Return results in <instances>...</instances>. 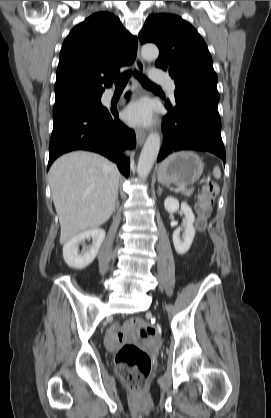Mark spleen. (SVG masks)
<instances>
[{
    "label": "spleen",
    "instance_id": "obj_1",
    "mask_svg": "<svg viewBox=\"0 0 271 418\" xmlns=\"http://www.w3.org/2000/svg\"><path fill=\"white\" fill-rule=\"evenodd\" d=\"M213 175L216 179H219L221 177V171L219 167H214L213 169Z\"/></svg>",
    "mask_w": 271,
    "mask_h": 418
}]
</instances>
